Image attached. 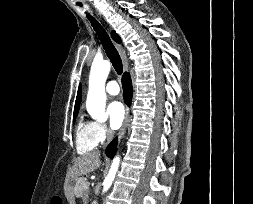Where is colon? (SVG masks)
I'll use <instances>...</instances> for the list:
<instances>
[{
    "instance_id": "1",
    "label": "colon",
    "mask_w": 253,
    "mask_h": 204,
    "mask_svg": "<svg viewBox=\"0 0 253 204\" xmlns=\"http://www.w3.org/2000/svg\"><path fill=\"white\" fill-rule=\"evenodd\" d=\"M52 204H61V203L54 200V201H52Z\"/></svg>"
}]
</instances>
